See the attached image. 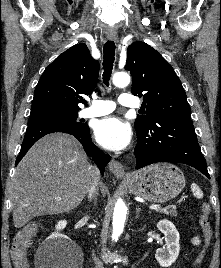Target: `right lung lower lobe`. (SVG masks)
I'll return each mask as SVG.
<instances>
[{
	"instance_id": "obj_1",
	"label": "right lung lower lobe",
	"mask_w": 221,
	"mask_h": 268,
	"mask_svg": "<svg viewBox=\"0 0 221 268\" xmlns=\"http://www.w3.org/2000/svg\"><path fill=\"white\" fill-rule=\"evenodd\" d=\"M53 132H63L73 135L82 144L85 152L93 157L101 174H104L105 166L110 161V156L103 154L97 147L93 144L89 132L88 125L82 127L67 126L63 124L56 123H38L33 125H28L26 134L21 146L20 153L16 159L15 165H17L31 146L41 137L46 134Z\"/></svg>"
}]
</instances>
